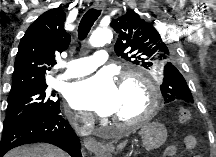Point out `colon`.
<instances>
[{
  "mask_svg": "<svg viewBox=\"0 0 216 157\" xmlns=\"http://www.w3.org/2000/svg\"><path fill=\"white\" fill-rule=\"evenodd\" d=\"M191 119V112L187 108H180L178 110V121L180 123L188 122Z\"/></svg>",
  "mask_w": 216,
  "mask_h": 157,
  "instance_id": "colon-1",
  "label": "colon"
}]
</instances>
